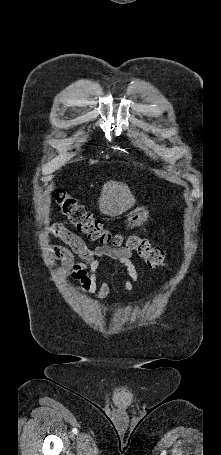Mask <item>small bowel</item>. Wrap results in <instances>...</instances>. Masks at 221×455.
<instances>
[{
	"label": "small bowel",
	"instance_id": "1",
	"mask_svg": "<svg viewBox=\"0 0 221 455\" xmlns=\"http://www.w3.org/2000/svg\"><path fill=\"white\" fill-rule=\"evenodd\" d=\"M48 233L66 244V247L54 245L49 248V254L60 262L58 273L77 280L81 292L88 293L96 299H102L108 295L110 290L108 282L99 281L96 274L104 258H110L126 268L128 278L124 280V287L127 291L134 290L139 281V275L131 261L132 253L127 249L107 246L91 248L62 224L52 225ZM76 257L80 260L77 261Z\"/></svg>",
	"mask_w": 221,
	"mask_h": 455
}]
</instances>
